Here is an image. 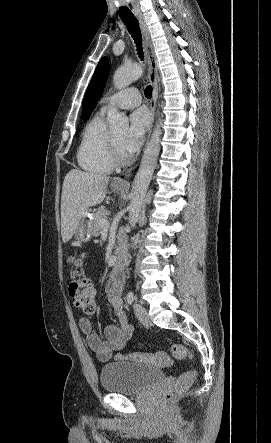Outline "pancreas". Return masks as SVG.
<instances>
[{
    "mask_svg": "<svg viewBox=\"0 0 271 443\" xmlns=\"http://www.w3.org/2000/svg\"><path fill=\"white\" fill-rule=\"evenodd\" d=\"M107 216H109V212L105 210V206L98 208L97 212H95V218L91 222L93 225V235H99V231L104 229V227L100 225V220H104V218H107Z\"/></svg>",
    "mask_w": 271,
    "mask_h": 443,
    "instance_id": "1",
    "label": "pancreas"
}]
</instances>
